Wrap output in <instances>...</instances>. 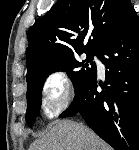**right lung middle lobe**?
<instances>
[{"label": "right lung middle lobe", "mask_w": 139, "mask_h": 150, "mask_svg": "<svg viewBox=\"0 0 139 150\" xmlns=\"http://www.w3.org/2000/svg\"><path fill=\"white\" fill-rule=\"evenodd\" d=\"M86 53L85 61L78 62L74 54L50 61L27 77V112L26 121L31 127L39 116L41 107V92L46 78L56 71H65L71 79L74 88H78L88 80L96 69L95 62H92L96 52H79L78 55ZM91 62V63H89ZM82 67V68H81ZM81 68V69H80Z\"/></svg>", "instance_id": "obj_1"}]
</instances>
